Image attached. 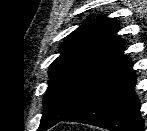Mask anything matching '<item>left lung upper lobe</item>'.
Listing matches in <instances>:
<instances>
[{
	"label": "left lung upper lobe",
	"mask_w": 147,
	"mask_h": 131,
	"mask_svg": "<svg viewBox=\"0 0 147 131\" xmlns=\"http://www.w3.org/2000/svg\"><path fill=\"white\" fill-rule=\"evenodd\" d=\"M118 21L97 18L69 34L61 54L49 67L47 94L39 131H45L77 111L88 97L128 58L116 36Z\"/></svg>",
	"instance_id": "obj_1"
}]
</instances>
